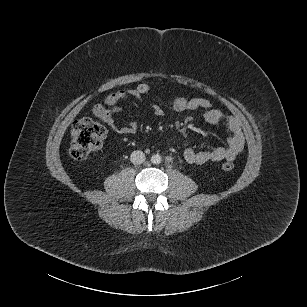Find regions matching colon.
I'll use <instances>...</instances> for the list:
<instances>
[{
    "mask_svg": "<svg viewBox=\"0 0 307 307\" xmlns=\"http://www.w3.org/2000/svg\"><path fill=\"white\" fill-rule=\"evenodd\" d=\"M106 136L105 128L89 115H85L72 126L70 135V154L74 159L84 160L93 152L99 150ZM222 169L232 171L234 164L225 162Z\"/></svg>",
    "mask_w": 307,
    "mask_h": 307,
    "instance_id": "obj_1",
    "label": "colon"
}]
</instances>
